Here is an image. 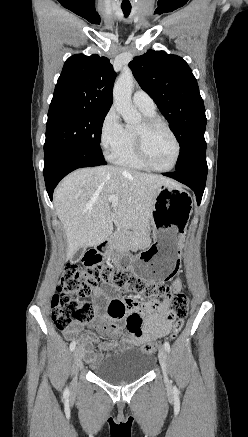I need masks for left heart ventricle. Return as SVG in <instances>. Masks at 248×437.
<instances>
[{"instance_id": "obj_1", "label": "left heart ventricle", "mask_w": 248, "mask_h": 437, "mask_svg": "<svg viewBox=\"0 0 248 437\" xmlns=\"http://www.w3.org/2000/svg\"><path fill=\"white\" fill-rule=\"evenodd\" d=\"M141 124L136 130L141 127ZM175 151V143L164 127H156L148 133L146 153L152 165L157 168L169 167L173 162Z\"/></svg>"}]
</instances>
